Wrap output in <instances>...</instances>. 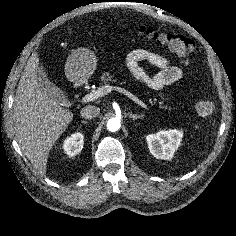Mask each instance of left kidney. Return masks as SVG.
I'll return each instance as SVG.
<instances>
[{
  "label": "left kidney",
  "mask_w": 236,
  "mask_h": 236,
  "mask_svg": "<svg viewBox=\"0 0 236 236\" xmlns=\"http://www.w3.org/2000/svg\"><path fill=\"white\" fill-rule=\"evenodd\" d=\"M183 133L172 129L169 131L161 130L156 134L146 136V141L150 153L157 159L171 160L174 152L180 146Z\"/></svg>",
  "instance_id": "left-kidney-1"
}]
</instances>
